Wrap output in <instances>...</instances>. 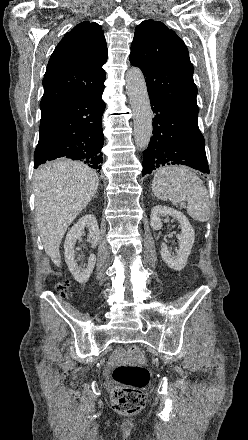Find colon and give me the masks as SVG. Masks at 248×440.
I'll list each match as a JSON object with an SVG mask.
<instances>
[{
    "mask_svg": "<svg viewBox=\"0 0 248 440\" xmlns=\"http://www.w3.org/2000/svg\"><path fill=\"white\" fill-rule=\"evenodd\" d=\"M70 287L65 280L57 284V291L64 297ZM127 354L134 359L140 353L137 345L126 349ZM112 377L115 385L112 389V407L122 415H132L141 411L145 405L146 397L144 388L150 380L149 370L133 361L129 364L119 365L114 368Z\"/></svg>",
    "mask_w": 248,
    "mask_h": 440,
    "instance_id": "5ec220e1",
    "label": "colon"
}]
</instances>
